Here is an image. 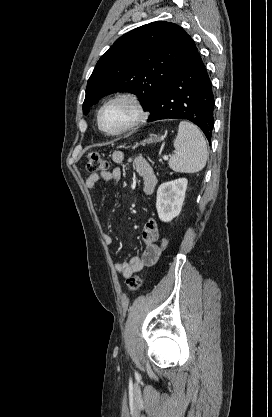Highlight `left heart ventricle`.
Returning <instances> with one entry per match:
<instances>
[{
    "instance_id": "1",
    "label": "left heart ventricle",
    "mask_w": 272,
    "mask_h": 417,
    "mask_svg": "<svg viewBox=\"0 0 272 417\" xmlns=\"http://www.w3.org/2000/svg\"><path fill=\"white\" fill-rule=\"evenodd\" d=\"M135 117L133 106L126 101L109 105L103 112L102 124L108 131H116L129 124Z\"/></svg>"
}]
</instances>
